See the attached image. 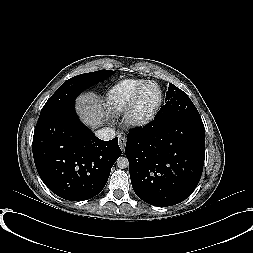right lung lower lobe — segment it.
Segmentation results:
<instances>
[{"label": "right lung lower lobe", "mask_w": 253, "mask_h": 253, "mask_svg": "<svg viewBox=\"0 0 253 253\" xmlns=\"http://www.w3.org/2000/svg\"><path fill=\"white\" fill-rule=\"evenodd\" d=\"M75 103L39 116L33 136L38 174L59 197L88 200L105 187L121 155L118 138H97L76 116Z\"/></svg>", "instance_id": "right-lung-lower-lobe-1"}]
</instances>
